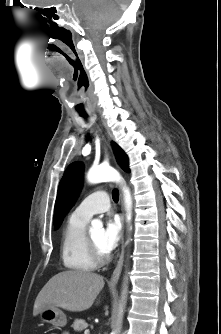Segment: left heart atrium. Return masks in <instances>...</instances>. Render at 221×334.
<instances>
[{
    "label": "left heart atrium",
    "mask_w": 221,
    "mask_h": 334,
    "mask_svg": "<svg viewBox=\"0 0 221 334\" xmlns=\"http://www.w3.org/2000/svg\"><path fill=\"white\" fill-rule=\"evenodd\" d=\"M122 235V225L117 217L107 219L102 235V248L105 252H111L118 245Z\"/></svg>",
    "instance_id": "39dd6f15"
}]
</instances>
